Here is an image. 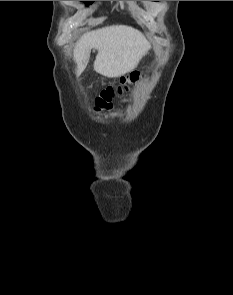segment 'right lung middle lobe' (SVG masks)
<instances>
[{"label":"right lung middle lobe","mask_w":233,"mask_h":295,"mask_svg":"<svg viewBox=\"0 0 233 295\" xmlns=\"http://www.w3.org/2000/svg\"><path fill=\"white\" fill-rule=\"evenodd\" d=\"M83 2H85L86 4H91V3H93L94 1H83Z\"/></svg>","instance_id":"right-lung-middle-lobe-1"}]
</instances>
